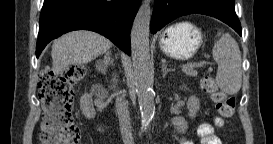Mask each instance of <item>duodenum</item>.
I'll use <instances>...</instances> for the list:
<instances>
[{
    "mask_svg": "<svg viewBox=\"0 0 273 144\" xmlns=\"http://www.w3.org/2000/svg\"><path fill=\"white\" fill-rule=\"evenodd\" d=\"M97 127L102 132H105L107 130V126L102 121H97Z\"/></svg>",
    "mask_w": 273,
    "mask_h": 144,
    "instance_id": "obj_1",
    "label": "duodenum"
}]
</instances>
